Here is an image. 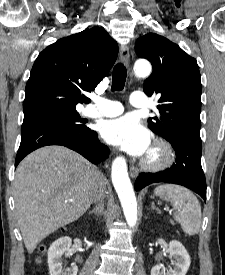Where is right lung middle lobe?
<instances>
[{
	"label": "right lung middle lobe",
	"mask_w": 225,
	"mask_h": 275,
	"mask_svg": "<svg viewBox=\"0 0 225 275\" xmlns=\"http://www.w3.org/2000/svg\"><path fill=\"white\" fill-rule=\"evenodd\" d=\"M30 121L54 122L79 132L89 130V128L83 124V121L81 120L80 115L76 110L48 111L24 116L23 123Z\"/></svg>",
	"instance_id": "right-lung-middle-lobe-1"
}]
</instances>
